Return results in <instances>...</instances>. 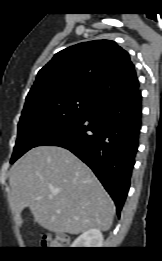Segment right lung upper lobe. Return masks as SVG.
Masks as SVG:
<instances>
[{"label": "right lung upper lobe", "instance_id": "1", "mask_svg": "<svg viewBox=\"0 0 162 261\" xmlns=\"http://www.w3.org/2000/svg\"><path fill=\"white\" fill-rule=\"evenodd\" d=\"M139 88L127 51L111 40H96L58 52L37 74L26 100L77 94L97 102Z\"/></svg>", "mask_w": 162, "mask_h": 261}]
</instances>
